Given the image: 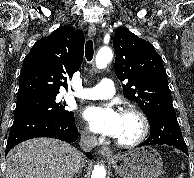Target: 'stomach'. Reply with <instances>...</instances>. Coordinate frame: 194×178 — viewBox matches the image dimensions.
Returning <instances> with one entry per match:
<instances>
[{"label": "stomach", "mask_w": 194, "mask_h": 178, "mask_svg": "<svg viewBox=\"0 0 194 178\" xmlns=\"http://www.w3.org/2000/svg\"><path fill=\"white\" fill-rule=\"evenodd\" d=\"M114 170L122 178H158L163 161L151 147H142L110 159Z\"/></svg>", "instance_id": "1"}]
</instances>
